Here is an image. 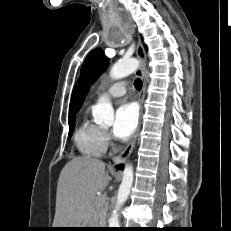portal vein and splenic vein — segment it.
<instances>
[{
	"label": "portal vein and splenic vein",
	"instance_id": "18ae733b",
	"mask_svg": "<svg viewBox=\"0 0 231 231\" xmlns=\"http://www.w3.org/2000/svg\"><path fill=\"white\" fill-rule=\"evenodd\" d=\"M98 201H99L100 203H104V202H105V197H103V196L99 197V198H98Z\"/></svg>",
	"mask_w": 231,
	"mask_h": 231
}]
</instances>
